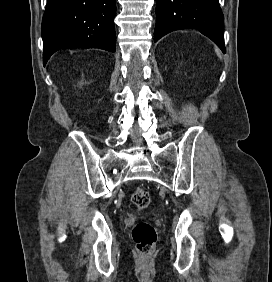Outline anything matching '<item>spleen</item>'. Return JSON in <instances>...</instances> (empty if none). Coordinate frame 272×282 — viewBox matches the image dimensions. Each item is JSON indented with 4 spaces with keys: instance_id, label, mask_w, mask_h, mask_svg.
I'll return each mask as SVG.
<instances>
[{
    "instance_id": "spleen-1",
    "label": "spleen",
    "mask_w": 272,
    "mask_h": 282,
    "mask_svg": "<svg viewBox=\"0 0 272 282\" xmlns=\"http://www.w3.org/2000/svg\"><path fill=\"white\" fill-rule=\"evenodd\" d=\"M215 51L217 52V54L219 55V51H218V49H215Z\"/></svg>"
}]
</instances>
